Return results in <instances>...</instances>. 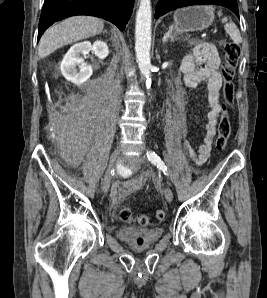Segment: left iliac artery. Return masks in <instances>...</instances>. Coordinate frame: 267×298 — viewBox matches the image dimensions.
Instances as JSON below:
<instances>
[{
	"mask_svg": "<svg viewBox=\"0 0 267 298\" xmlns=\"http://www.w3.org/2000/svg\"><path fill=\"white\" fill-rule=\"evenodd\" d=\"M146 155L152 164H154L159 170L163 171V173L168 176V170L165 163L154 151H147Z\"/></svg>",
	"mask_w": 267,
	"mask_h": 298,
	"instance_id": "obj_1",
	"label": "left iliac artery"
}]
</instances>
